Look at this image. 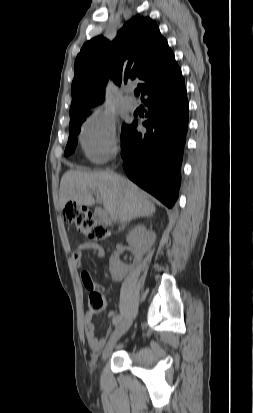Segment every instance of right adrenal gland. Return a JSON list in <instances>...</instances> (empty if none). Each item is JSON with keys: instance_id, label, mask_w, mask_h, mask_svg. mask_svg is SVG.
Returning a JSON list of instances; mask_svg holds the SVG:
<instances>
[{"instance_id": "2a0ac1e0", "label": "right adrenal gland", "mask_w": 253, "mask_h": 413, "mask_svg": "<svg viewBox=\"0 0 253 413\" xmlns=\"http://www.w3.org/2000/svg\"><path fill=\"white\" fill-rule=\"evenodd\" d=\"M131 220H128L123 226H122V228H124L125 227V225L127 224V223H129Z\"/></svg>"}]
</instances>
